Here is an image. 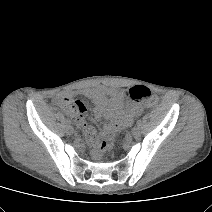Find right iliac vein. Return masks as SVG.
<instances>
[{
  "label": "right iliac vein",
  "mask_w": 212,
  "mask_h": 212,
  "mask_svg": "<svg viewBox=\"0 0 212 212\" xmlns=\"http://www.w3.org/2000/svg\"><path fill=\"white\" fill-rule=\"evenodd\" d=\"M67 132H68L69 134H73V132H74L73 127H72V126H68V127H67Z\"/></svg>",
  "instance_id": "63e3f726"
}]
</instances>
